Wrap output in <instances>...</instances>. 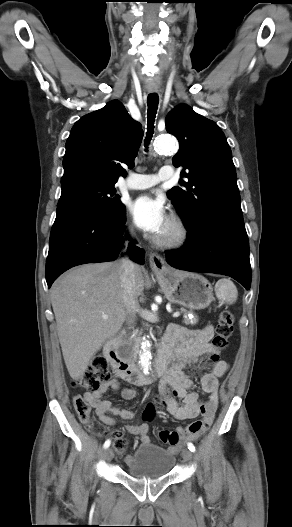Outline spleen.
<instances>
[{
	"instance_id": "3e777b00",
	"label": "spleen",
	"mask_w": 292,
	"mask_h": 527,
	"mask_svg": "<svg viewBox=\"0 0 292 527\" xmlns=\"http://www.w3.org/2000/svg\"><path fill=\"white\" fill-rule=\"evenodd\" d=\"M215 293L217 298L229 304L237 300L238 292L234 283L230 279H220L215 285Z\"/></svg>"
}]
</instances>
